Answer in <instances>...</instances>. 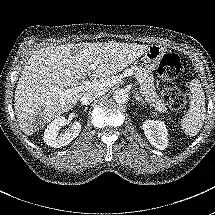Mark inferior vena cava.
<instances>
[{
  "label": "inferior vena cava",
  "mask_w": 215,
  "mask_h": 215,
  "mask_svg": "<svg viewBox=\"0 0 215 215\" xmlns=\"http://www.w3.org/2000/svg\"><path fill=\"white\" fill-rule=\"evenodd\" d=\"M105 92L106 90H99L95 93L85 92L80 98V103L82 105H89L93 100H95V98L104 94Z\"/></svg>",
  "instance_id": "602c4592"
}]
</instances>
